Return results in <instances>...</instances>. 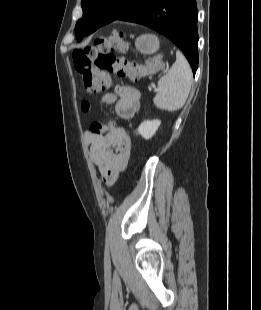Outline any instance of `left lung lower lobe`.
<instances>
[{
	"label": "left lung lower lobe",
	"mask_w": 261,
	"mask_h": 310,
	"mask_svg": "<svg viewBox=\"0 0 261 310\" xmlns=\"http://www.w3.org/2000/svg\"><path fill=\"white\" fill-rule=\"evenodd\" d=\"M197 16L196 0H130L114 20L142 24L165 35L183 51L195 74L198 67ZM105 24L89 23L76 36L77 40Z\"/></svg>",
	"instance_id": "left-lung-lower-lobe-1"
}]
</instances>
